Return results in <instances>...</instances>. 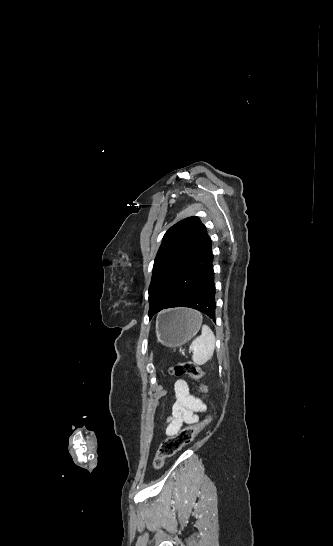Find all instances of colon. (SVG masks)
<instances>
[{"instance_id": "colon-1", "label": "colon", "mask_w": 333, "mask_h": 546, "mask_svg": "<svg viewBox=\"0 0 333 546\" xmlns=\"http://www.w3.org/2000/svg\"><path fill=\"white\" fill-rule=\"evenodd\" d=\"M169 373L173 376H185L198 384V390L202 393L206 392V386L201 382L203 371L192 361H181L173 364ZM212 415L208 414L206 418L196 424L189 425L176 434L165 438L157 451L153 461L155 469H160L166 459L174 456L181 448L194 440L196 435L211 421Z\"/></svg>"}]
</instances>
